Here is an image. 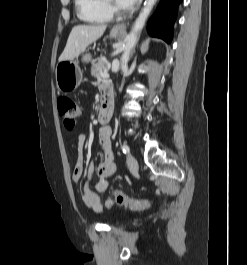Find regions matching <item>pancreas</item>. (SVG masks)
Wrapping results in <instances>:
<instances>
[{
	"mask_svg": "<svg viewBox=\"0 0 247 265\" xmlns=\"http://www.w3.org/2000/svg\"><path fill=\"white\" fill-rule=\"evenodd\" d=\"M107 71L105 62L99 59L97 62L92 63L91 75L95 78H101L102 73Z\"/></svg>",
	"mask_w": 247,
	"mask_h": 265,
	"instance_id": "1",
	"label": "pancreas"
}]
</instances>
